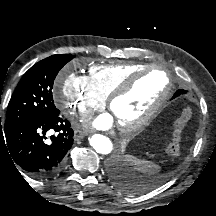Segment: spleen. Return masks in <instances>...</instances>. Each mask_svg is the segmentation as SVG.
Masks as SVG:
<instances>
[{"label": "spleen", "mask_w": 216, "mask_h": 216, "mask_svg": "<svg viewBox=\"0 0 216 216\" xmlns=\"http://www.w3.org/2000/svg\"><path fill=\"white\" fill-rule=\"evenodd\" d=\"M126 159L128 162H130L135 167L136 170L144 174H153L159 170L158 165H156L155 163L151 161L139 159L131 155H127Z\"/></svg>", "instance_id": "3e777b00"}]
</instances>
